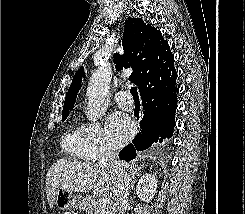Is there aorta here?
Returning a JSON list of instances; mask_svg holds the SVG:
<instances>
[{
  "mask_svg": "<svg viewBox=\"0 0 245 214\" xmlns=\"http://www.w3.org/2000/svg\"><path fill=\"white\" fill-rule=\"evenodd\" d=\"M112 77L110 65H102L91 76L87 87V113L89 121L101 119L109 105V85Z\"/></svg>",
  "mask_w": 245,
  "mask_h": 214,
  "instance_id": "762f6f07",
  "label": "aorta"
}]
</instances>
